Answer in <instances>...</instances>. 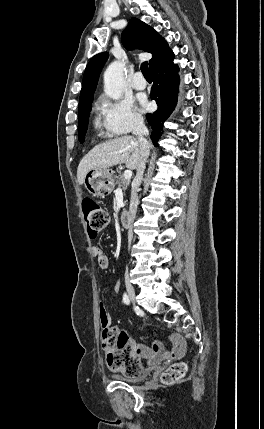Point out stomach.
<instances>
[{
	"label": "stomach",
	"instance_id": "0dacf381",
	"mask_svg": "<svg viewBox=\"0 0 264 429\" xmlns=\"http://www.w3.org/2000/svg\"><path fill=\"white\" fill-rule=\"evenodd\" d=\"M84 185L94 197H105L115 187L113 171L110 169L90 170L85 176Z\"/></svg>",
	"mask_w": 264,
	"mask_h": 429
}]
</instances>
